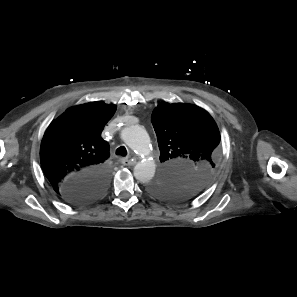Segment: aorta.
<instances>
[{
    "instance_id": "aorta-1",
    "label": "aorta",
    "mask_w": 297,
    "mask_h": 297,
    "mask_svg": "<svg viewBox=\"0 0 297 297\" xmlns=\"http://www.w3.org/2000/svg\"><path fill=\"white\" fill-rule=\"evenodd\" d=\"M121 139L140 158L134 167V177L140 182H149L155 174L156 164L151 158L147 131L140 125H131L122 130Z\"/></svg>"
}]
</instances>
